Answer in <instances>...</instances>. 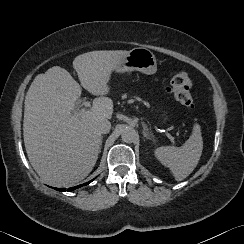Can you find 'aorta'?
Returning <instances> with one entry per match:
<instances>
[{"label": "aorta", "mask_w": 244, "mask_h": 244, "mask_svg": "<svg viewBox=\"0 0 244 244\" xmlns=\"http://www.w3.org/2000/svg\"><path fill=\"white\" fill-rule=\"evenodd\" d=\"M136 137V131L133 127L126 126L121 131V138L124 142L130 143Z\"/></svg>", "instance_id": "1"}]
</instances>
